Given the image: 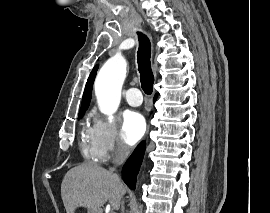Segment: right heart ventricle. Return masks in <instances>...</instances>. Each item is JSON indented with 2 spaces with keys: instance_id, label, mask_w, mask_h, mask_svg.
I'll return each mask as SVG.
<instances>
[{
  "instance_id": "1",
  "label": "right heart ventricle",
  "mask_w": 270,
  "mask_h": 213,
  "mask_svg": "<svg viewBox=\"0 0 270 213\" xmlns=\"http://www.w3.org/2000/svg\"><path fill=\"white\" fill-rule=\"evenodd\" d=\"M80 151L82 156L92 162H100L101 152L96 139L95 123L91 124L88 120L85 121L80 133Z\"/></svg>"
}]
</instances>
